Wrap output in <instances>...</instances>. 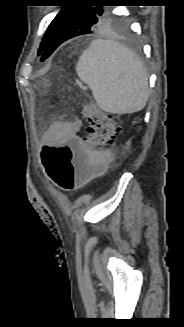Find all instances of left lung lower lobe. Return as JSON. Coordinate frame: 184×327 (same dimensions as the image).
<instances>
[{"mask_svg":"<svg viewBox=\"0 0 184 327\" xmlns=\"http://www.w3.org/2000/svg\"><path fill=\"white\" fill-rule=\"evenodd\" d=\"M80 34L76 32L75 30L69 29L66 26H64V18L61 17L54 30L53 33L44 48L42 52V61L45 60L47 57L50 56V54L63 42L66 40H69L73 37L79 36Z\"/></svg>","mask_w":184,"mask_h":327,"instance_id":"obj_1","label":"left lung lower lobe"}]
</instances>
